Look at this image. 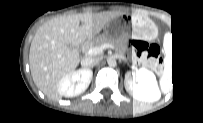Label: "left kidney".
Masks as SVG:
<instances>
[{"mask_svg":"<svg viewBox=\"0 0 203 123\" xmlns=\"http://www.w3.org/2000/svg\"><path fill=\"white\" fill-rule=\"evenodd\" d=\"M136 81L139 82L138 85ZM125 88L133 98L140 101L154 102L160 98L155 76L149 71L126 72Z\"/></svg>","mask_w":203,"mask_h":123,"instance_id":"obj_1","label":"left kidney"}]
</instances>
